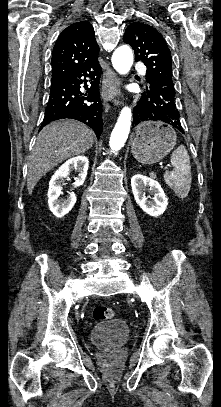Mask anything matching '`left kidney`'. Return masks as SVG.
Instances as JSON below:
<instances>
[{"mask_svg":"<svg viewBox=\"0 0 221 407\" xmlns=\"http://www.w3.org/2000/svg\"><path fill=\"white\" fill-rule=\"evenodd\" d=\"M131 186L134 199L144 212L154 217L160 216L165 212L168 199L161 185L156 180L136 174L131 178ZM145 190H149L154 194L152 200H148L144 192Z\"/></svg>","mask_w":221,"mask_h":407,"instance_id":"1","label":"left kidney"}]
</instances>
